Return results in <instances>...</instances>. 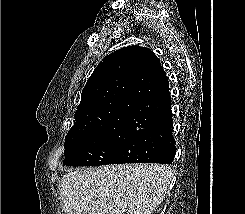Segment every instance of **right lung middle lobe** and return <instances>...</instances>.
<instances>
[{
	"mask_svg": "<svg viewBox=\"0 0 245 214\" xmlns=\"http://www.w3.org/2000/svg\"><path fill=\"white\" fill-rule=\"evenodd\" d=\"M128 134V128L117 126L100 131L68 132L65 137L66 166H99L117 164L118 146Z\"/></svg>",
	"mask_w": 245,
	"mask_h": 214,
	"instance_id": "dd1d6c3e",
	"label": "right lung middle lobe"
}]
</instances>
